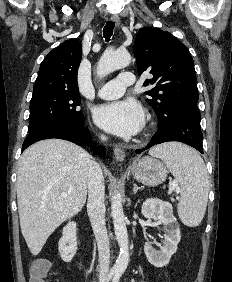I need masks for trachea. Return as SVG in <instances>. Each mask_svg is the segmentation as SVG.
<instances>
[{
    "label": "trachea",
    "instance_id": "1",
    "mask_svg": "<svg viewBox=\"0 0 232 282\" xmlns=\"http://www.w3.org/2000/svg\"><path fill=\"white\" fill-rule=\"evenodd\" d=\"M115 23L113 21H108L103 29V35L105 40L108 42L113 34Z\"/></svg>",
    "mask_w": 232,
    "mask_h": 282
}]
</instances>
